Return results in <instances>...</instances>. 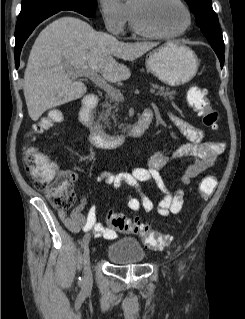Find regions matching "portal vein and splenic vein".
Returning <instances> with one entry per match:
<instances>
[{
    "label": "portal vein and splenic vein",
    "mask_w": 245,
    "mask_h": 319,
    "mask_svg": "<svg viewBox=\"0 0 245 319\" xmlns=\"http://www.w3.org/2000/svg\"><path fill=\"white\" fill-rule=\"evenodd\" d=\"M74 75H84L86 77H88L89 79H91L94 83H96L97 86H99L100 88H102L104 91H106L108 93V95H110L113 99L117 100V101H124V96L121 93V91L119 89H116L112 86H110L107 81L101 77L100 75H98L96 72L94 71H78V70H73L72 72ZM150 94H155V89L151 88L149 90Z\"/></svg>",
    "instance_id": "obj_1"
}]
</instances>
